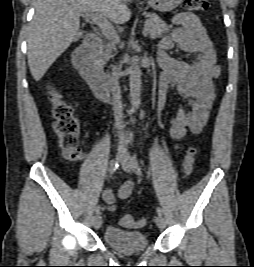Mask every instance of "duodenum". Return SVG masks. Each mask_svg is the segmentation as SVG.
<instances>
[{
    "label": "duodenum",
    "mask_w": 254,
    "mask_h": 267,
    "mask_svg": "<svg viewBox=\"0 0 254 267\" xmlns=\"http://www.w3.org/2000/svg\"><path fill=\"white\" fill-rule=\"evenodd\" d=\"M101 46L102 41L98 35H88L84 42L75 49L73 62L95 95L100 99L107 100L110 98L108 77L94 58Z\"/></svg>",
    "instance_id": "duodenum-1"
}]
</instances>
